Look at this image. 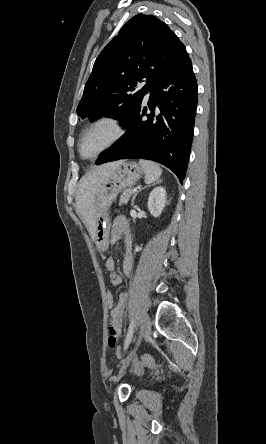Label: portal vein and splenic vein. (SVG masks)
Instances as JSON below:
<instances>
[{
    "label": "portal vein and splenic vein",
    "mask_w": 266,
    "mask_h": 444,
    "mask_svg": "<svg viewBox=\"0 0 266 444\" xmlns=\"http://www.w3.org/2000/svg\"><path fill=\"white\" fill-rule=\"evenodd\" d=\"M133 191H137V189H136V188H134V189H133Z\"/></svg>",
    "instance_id": "1"
}]
</instances>
